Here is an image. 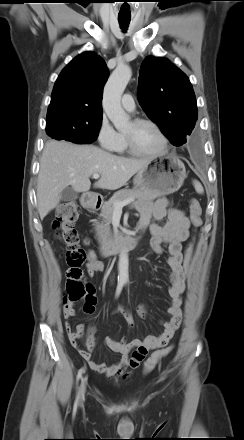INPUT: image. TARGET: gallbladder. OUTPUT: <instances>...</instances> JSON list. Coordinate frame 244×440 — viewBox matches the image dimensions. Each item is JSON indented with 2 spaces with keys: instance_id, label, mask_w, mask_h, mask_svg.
<instances>
[{
  "instance_id": "obj_1",
  "label": "gallbladder",
  "mask_w": 244,
  "mask_h": 440,
  "mask_svg": "<svg viewBox=\"0 0 244 440\" xmlns=\"http://www.w3.org/2000/svg\"><path fill=\"white\" fill-rule=\"evenodd\" d=\"M77 198H78V193L75 190H73L71 187H66L61 192V200L64 202L76 200Z\"/></svg>"
}]
</instances>
